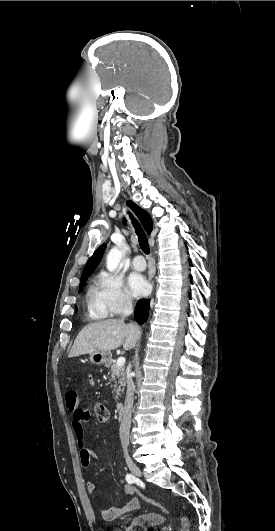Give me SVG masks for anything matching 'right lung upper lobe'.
<instances>
[{"label":"right lung upper lobe","mask_w":275,"mask_h":531,"mask_svg":"<svg viewBox=\"0 0 275 531\" xmlns=\"http://www.w3.org/2000/svg\"><path fill=\"white\" fill-rule=\"evenodd\" d=\"M127 205L132 209V211L138 217V219L142 223L146 232L150 234L152 231V219L150 215L145 210L140 208L138 205L133 203L132 201H128ZM105 249H106V244H102L101 246L98 247V249L94 252L91 258L88 260L83 270L80 284H82L83 282L87 280L88 275H90L95 269V267L99 264Z\"/></svg>","instance_id":"right-lung-upper-lobe-1"}]
</instances>
